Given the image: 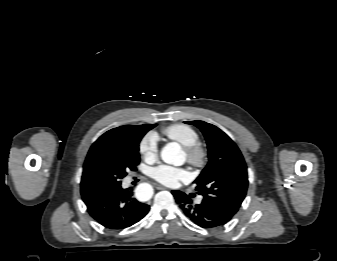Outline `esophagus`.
<instances>
[{
    "label": "esophagus",
    "instance_id": "esophagus-1",
    "mask_svg": "<svg viewBox=\"0 0 337 261\" xmlns=\"http://www.w3.org/2000/svg\"><path fill=\"white\" fill-rule=\"evenodd\" d=\"M155 187L158 189V190H164L166 189L164 186L160 185V184H155Z\"/></svg>",
    "mask_w": 337,
    "mask_h": 261
}]
</instances>
